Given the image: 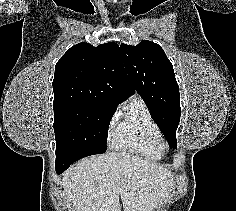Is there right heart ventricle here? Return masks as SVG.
Here are the masks:
<instances>
[{"label":"right heart ventricle","mask_w":236,"mask_h":211,"mask_svg":"<svg viewBox=\"0 0 236 211\" xmlns=\"http://www.w3.org/2000/svg\"><path fill=\"white\" fill-rule=\"evenodd\" d=\"M161 133L149 108L137 95L118 114L111 132L113 149L149 160H159L162 153L155 146Z\"/></svg>","instance_id":"right-heart-ventricle-1"}]
</instances>
